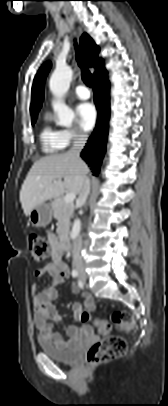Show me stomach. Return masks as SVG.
<instances>
[{
  "label": "stomach",
  "instance_id": "1",
  "mask_svg": "<svg viewBox=\"0 0 168 406\" xmlns=\"http://www.w3.org/2000/svg\"><path fill=\"white\" fill-rule=\"evenodd\" d=\"M53 210L50 204L42 203L36 206L29 214V221L33 226L43 227L52 220Z\"/></svg>",
  "mask_w": 168,
  "mask_h": 406
}]
</instances>
